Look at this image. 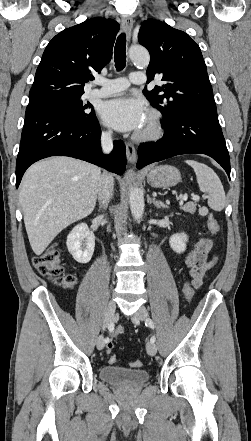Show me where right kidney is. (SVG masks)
Masks as SVG:
<instances>
[{
    "instance_id": "obj_1",
    "label": "right kidney",
    "mask_w": 251,
    "mask_h": 441,
    "mask_svg": "<svg viewBox=\"0 0 251 441\" xmlns=\"http://www.w3.org/2000/svg\"><path fill=\"white\" fill-rule=\"evenodd\" d=\"M85 244V248L82 244ZM66 245L69 253L78 263H88L93 255L95 236L85 223L76 225L67 236Z\"/></svg>"
}]
</instances>
